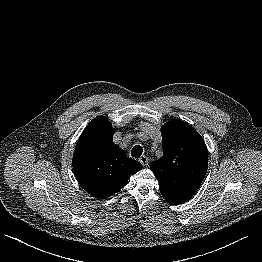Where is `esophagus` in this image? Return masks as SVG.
<instances>
[{"label":"esophagus","instance_id":"1","mask_svg":"<svg viewBox=\"0 0 262 262\" xmlns=\"http://www.w3.org/2000/svg\"><path fill=\"white\" fill-rule=\"evenodd\" d=\"M139 162L143 165V166H147L148 165V158L146 156H141L139 158Z\"/></svg>","mask_w":262,"mask_h":262}]
</instances>
